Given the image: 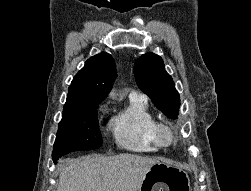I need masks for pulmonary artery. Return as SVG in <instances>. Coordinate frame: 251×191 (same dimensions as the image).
Returning <instances> with one entry per match:
<instances>
[{"instance_id":"pulmonary-artery-1","label":"pulmonary artery","mask_w":251,"mask_h":191,"mask_svg":"<svg viewBox=\"0 0 251 191\" xmlns=\"http://www.w3.org/2000/svg\"><path fill=\"white\" fill-rule=\"evenodd\" d=\"M130 97H135V96H138L137 92L136 91H131L130 94H129Z\"/></svg>"}]
</instances>
